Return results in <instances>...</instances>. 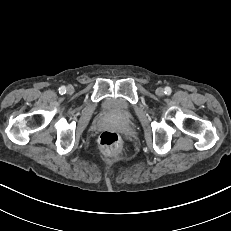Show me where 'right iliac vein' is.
Wrapping results in <instances>:
<instances>
[{
	"label": "right iliac vein",
	"instance_id": "1",
	"mask_svg": "<svg viewBox=\"0 0 231 231\" xmlns=\"http://www.w3.org/2000/svg\"><path fill=\"white\" fill-rule=\"evenodd\" d=\"M73 91H74L73 86L69 85V86L67 87V93L71 94V93H73Z\"/></svg>",
	"mask_w": 231,
	"mask_h": 231
}]
</instances>
